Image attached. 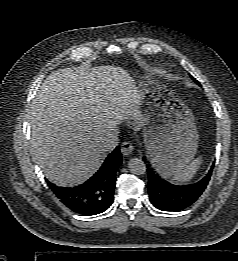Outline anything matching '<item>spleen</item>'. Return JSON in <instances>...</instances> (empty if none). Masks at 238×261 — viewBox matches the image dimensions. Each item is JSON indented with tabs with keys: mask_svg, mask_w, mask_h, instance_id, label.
I'll return each mask as SVG.
<instances>
[{
	"mask_svg": "<svg viewBox=\"0 0 238 261\" xmlns=\"http://www.w3.org/2000/svg\"><path fill=\"white\" fill-rule=\"evenodd\" d=\"M202 163V157H197L191 163H189L184 169L174 175L172 181L177 184L189 182L198 171Z\"/></svg>",
	"mask_w": 238,
	"mask_h": 261,
	"instance_id": "3e777b00",
	"label": "spleen"
}]
</instances>
